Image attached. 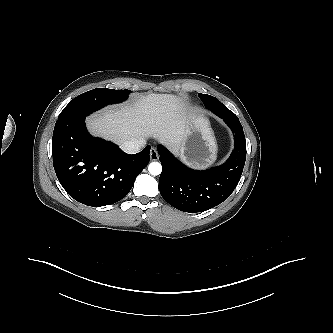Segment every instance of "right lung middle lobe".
Segmentation results:
<instances>
[{
	"label": "right lung middle lobe",
	"mask_w": 333,
	"mask_h": 333,
	"mask_svg": "<svg viewBox=\"0 0 333 333\" xmlns=\"http://www.w3.org/2000/svg\"><path fill=\"white\" fill-rule=\"evenodd\" d=\"M129 92V90L107 88L93 89L74 98L59 116H87L108 104L123 102L128 98Z\"/></svg>",
	"instance_id": "obj_1"
}]
</instances>
